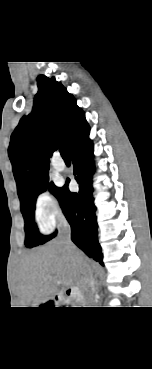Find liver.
<instances>
[{
  "instance_id": "liver-1",
  "label": "liver",
  "mask_w": 152,
  "mask_h": 369,
  "mask_svg": "<svg viewBox=\"0 0 152 369\" xmlns=\"http://www.w3.org/2000/svg\"><path fill=\"white\" fill-rule=\"evenodd\" d=\"M76 253L91 269L92 262L78 249ZM56 280L71 287H79L81 280L80 265L58 239L37 248L23 259L18 278L21 304L37 307L53 299L57 292Z\"/></svg>"
}]
</instances>
